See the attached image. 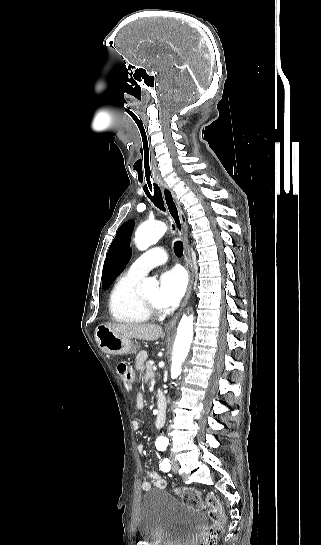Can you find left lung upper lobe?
<instances>
[{"instance_id":"left-lung-upper-lobe-1","label":"left lung upper lobe","mask_w":321,"mask_h":545,"mask_svg":"<svg viewBox=\"0 0 321 545\" xmlns=\"http://www.w3.org/2000/svg\"><path fill=\"white\" fill-rule=\"evenodd\" d=\"M135 222L129 220L121 225L111 243L104 264L102 276L103 289L107 290L116 277L122 272L130 259V238Z\"/></svg>"}]
</instances>
